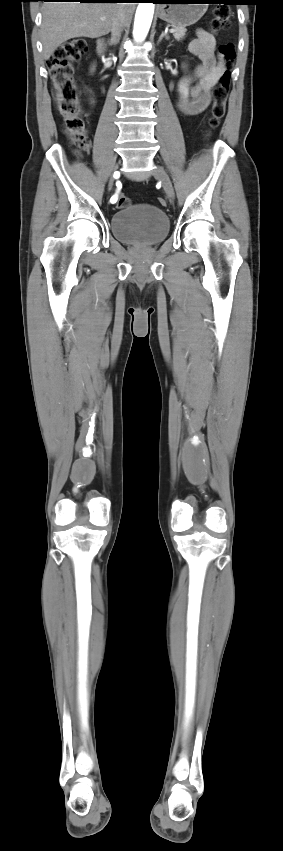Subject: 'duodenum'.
I'll use <instances>...</instances> for the list:
<instances>
[{"label":"duodenum","instance_id":"410a0bca","mask_svg":"<svg viewBox=\"0 0 283 851\" xmlns=\"http://www.w3.org/2000/svg\"><path fill=\"white\" fill-rule=\"evenodd\" d=\"M106 44L103 40H100L97 44V52L99 56L103 57L105 54Z\"/></svg>","mask_w":283,"mask_h":851}]
</instances>
